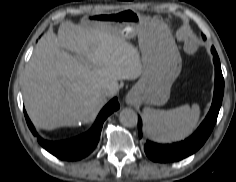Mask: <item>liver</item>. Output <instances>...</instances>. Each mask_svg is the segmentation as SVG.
<instances>
[{"instance_id": "1", "label": "liver", "mask_w": 236, "mask_h": 182, "mask_svg": "<svg viewBox=\"0 0 236 182\" xmlns=\"http://www.w3.org/2000/svg\"><path fill=\"white\" fill-rule=\"evenodd\" d=\"M57 39L76 57L57 50ZM142 71L138 49L114 32L111 23L84 27L64 22L58 37L48 32L39 40L25 68L27 113L37 127L46 130L93 122L107 102L101 91L107 88L116 94L118 80L137 79Z\"/></svg>"}]
</instances>
